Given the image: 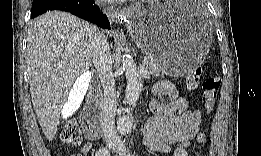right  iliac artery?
<instances>
[{"mask_svg":"<svg viewBox=\"0 0 261 156\" xmlns=\"http://www.w3.org/2000/svg\"><path fill=\"white\" fill-rule=\"evenodd\" d=\"M97 156H108L109 152L107 149L105 148H100L97 152H96Z\"/></svg>","mask_w":261,"mask_h":156,"instance_id":"82829eb1","label":"right iliac artery"}]
</instances>
